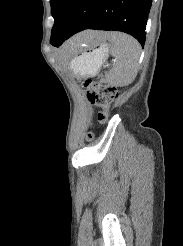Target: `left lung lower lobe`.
I'll use <instances>...</instances> for the list:
<instances>
[{
    "instance_id": "obj_1",
    "label": "left lung lower lobe",
    "mask_w": 183,
    "mask_h": 246,
    "mask_svg": "<svg viewBox=\"0 0 183 246\" xmlns=\"http://www.w3.org/2000/svg\"><path fill=\"white\" fill-rule=\"evenodd\" d=\"M151 4L152 0H78L50 43L58 47L82 30L95 29L128 33L143 47Z\"/></svg>"
}]
</instances>
